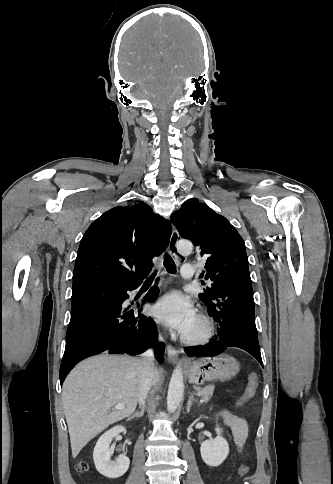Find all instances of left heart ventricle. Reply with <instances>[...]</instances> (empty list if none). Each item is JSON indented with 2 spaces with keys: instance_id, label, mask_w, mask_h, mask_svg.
<instances>
[{
  "instance_id": "b2bd125f",
  "label": "left heart ventricle",
  "mask_w": 333,
  "mask_h": 484,
  "mask_svg": "<svg viewBox=\"0 0 333 484\" xmlns=\"http://www.w3.org/2000/svg\"><path fill=\"white\" fill-rule=\"evenodd\" d=\"M202 331L203 326L201 322L196 318L184 334H186L187 336L196 337L199 336Z\"/></svg>"
}]
</instances>
